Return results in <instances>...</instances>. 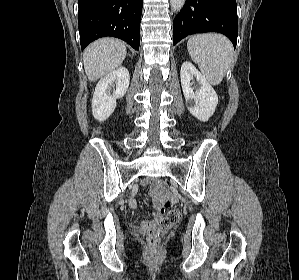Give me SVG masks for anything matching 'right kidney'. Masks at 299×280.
Masks as SVG:
<instances>
[{
  "mask_svg": "<svg viewBox=\"0 0 299 280\" xmlns=\"http://www.w3.org/2000/svg\"><path fill=\"white\" fill-rule=\"evenodd\" d=\"M130 82L129 71L119 67L103 77L96 85L92 99V113L96 120H106L115 110L116 100L127 92ZM116 89L111 91V86Z\"/></svg>",
  "mask_w": 299,
  "mask_h": 280,
  "instance_id": "right-kidney-1",
  "label": "right kidney"
}]
</instances>
